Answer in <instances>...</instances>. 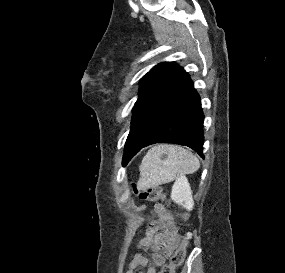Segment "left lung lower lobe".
<instances>
[{
    "mask_svg": "<svg viewBox=\"0 0 285 273\" xmlns=\"http://www.w3.org/2000/svg\"><path fill=\"white\" fill-rule=\"evenodd\" d=\"M204 115L201 101L184 71L174 86L131 127L123 166L142 148L155 143H175L195 150L202 158Z\"/></svg>",
    "mask_w": 285,
    "mask_h": 273,
    "instance_id": "left-lung-lower-lobe-1",
    "label": "left lung lower lobe"
}]
</instances>
